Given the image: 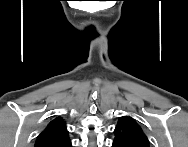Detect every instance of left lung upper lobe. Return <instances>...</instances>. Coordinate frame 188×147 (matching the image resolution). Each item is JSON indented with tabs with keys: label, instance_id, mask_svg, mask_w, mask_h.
<instances>
[{
	"label": "left lung upper lobe",
	"instance_id": "obj_1",
	"mask_svg": "<svg viewBox=\"0 0 188 147\" xmlns=\"http://www.w3.org/2000/svg\"><path fill=\"white\" fill-rule=\"evenodd\" d=\"M114 133L113 147H149V140L141 126L130 116L119 119Z\"/></svg>",
	"mask_w": 188,
	"mask_h": 147
}]
</instances>
